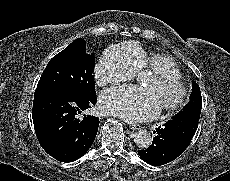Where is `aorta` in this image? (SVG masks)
Here are the masks:
<instances>
[{
	"label": "aorta",
	"instance_id": "1",
	"mask_svg": "<svg viewBox=\"0 0 230 181\" xmlns=\"http://www.w3.org/2000/svg\"><path fill=\"white\" fill-rule=\"evenodd\" d=\"M152 135L146 129H140L135 133L134 141L136 145L141 149H146L152 144Z\"/></svg>",
	"mask_w": 230,
	"mask_h": 181
}]
</instances>
